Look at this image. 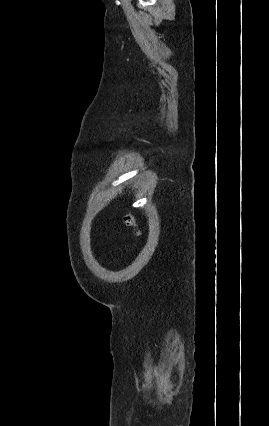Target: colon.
I'll return each instance as SVG.
<instances>
[{"label": "colon", "instance_id": "colon-1", "mask_svg": "<svg viewBox=\"0 0 269 426\" xmlns=\"http://www.w3.org/2000/svg\"><path fill=\"white\" fill-rule=\"evenodd\" d=\"M123 222L127 227H129L131 229L133 236L136 237V236L139 235V228H138L136 220H135V218L132 214H130V213L124 214Z\"/></svg>", "mask_w": 269, "mask_h": 426}]
</instances>
